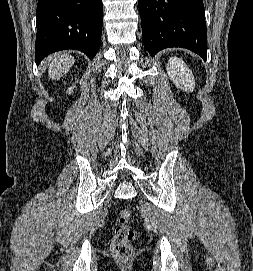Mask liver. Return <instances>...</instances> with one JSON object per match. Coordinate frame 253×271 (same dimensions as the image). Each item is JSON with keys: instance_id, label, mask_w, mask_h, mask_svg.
Instances as JSON below:
<instances>
[{"instance_id": "1", "label": "liver", "mask_w": 253, "mask_h": 271, "mask_svg": "<svg viewBox=\"0 0 253 271\" xmlns=\"http://www.w3.org/2000/svg\"><path fill=\"white\" fill-rule=\"evenodd\" d=\"M74 64V58L67 53H60L51 59L49 66V77L53 80H59Z\"/></svg>"}]
</instances>
